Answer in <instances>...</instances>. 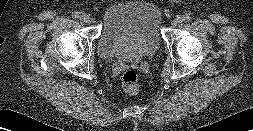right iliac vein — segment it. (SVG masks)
<instances>
[{
  "instance_id": "obj_1",
  "label": "right iliac vein",
  "mask_w": 253,
  "mask_h": 131,
  "mask_svg": "<svg viewBox=\"0 0 253 131\" xmlns=\"http://www.w3.org/2000/svg\"><path fill=\"white\" fill-rule=\"evenodd\" d=\"M80 20L86 24H89L91 22V19H90L89 15H87V14H82L80 16Z\"/></svg>"
}]
</instances>
